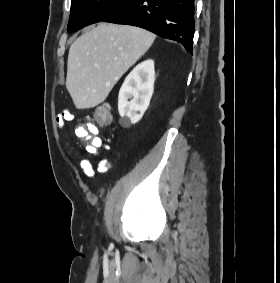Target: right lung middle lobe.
<instances>
[{"label":"right lung middle lobe","mask_w":280,"mask_h":283,"mask_svg":"<svg viewBox=\"0 0 280 283\" xmlns=\"http://www.w3.org/2000/svg\"><path fill=\"white\" fill-rule=\"evenodd\" d=\"M132 0H72L67 30L70 32L103 21Z\"/></svg>","instance_id":"1"}]
</instances>
